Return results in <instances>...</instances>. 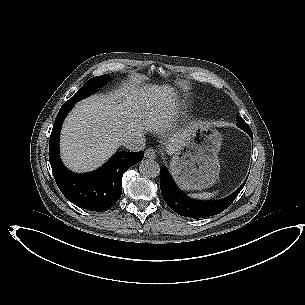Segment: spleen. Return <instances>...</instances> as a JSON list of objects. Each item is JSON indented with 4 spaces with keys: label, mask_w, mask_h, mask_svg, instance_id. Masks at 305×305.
<instances>
[{
    "label": "spleen",
    "mask_w": 305,
    "mask_h": 305,
    "mask_svg": "<svg viewBox=\"0 0 305 305\" xmlns=\"http://www.w3.org/2000/svg\"><path fill=\"white\" fill-rule=\"evenodd\" d=\"M217 192H203V193H195L192 194L191 197L194 199L207 200L214 196Z\"/></svg>",
    "instance_id": "spleen-1"
}]
</instances>
